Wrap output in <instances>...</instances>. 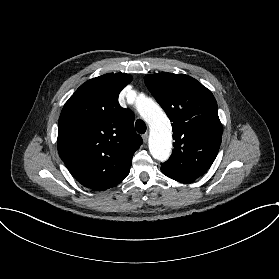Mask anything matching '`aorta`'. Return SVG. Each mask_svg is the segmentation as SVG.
I'll use <instances>...</instances> for the list:
<instances>
[{
  "label": "aorta",
  "instance_id": "aorta-1",
  "mask_svg": "<svg viewBox=\"0 0 279 279\" xmlns=\"http://www.w3.org/2000/svg\"><path fill=\"white\" fill-rule=\"evenodd\" d=\"M140 115L150 127L149 150L153 158L166 161L172 148V128L161 107L150 98L137 101Z\"/></svg>",
  "mask_w": 279,
  "mask_h": 279
}]
</instances>
